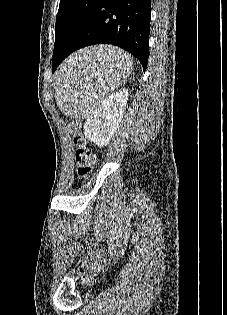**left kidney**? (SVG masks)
I'll list each match as a JSON object with an SVG mask.
<instances>
[{"label": "left kidney", "instance_id": "5707ae66", "mask_svg": "<svg viewBox=\"0 0 227 315\" xmlns=\"http://www.w3.org/2000/svg\"><path fill=\"white\" fill-rule=\"evenodd\" d=\"M128 90L120 89L106 98L84 123V134L98 146H106L123 118Z\"/></svg>", "mask_w": 227, "mask_h": 315}]
</instances>
